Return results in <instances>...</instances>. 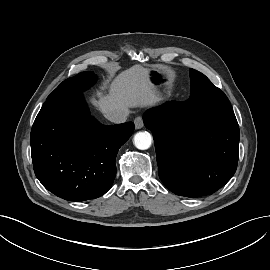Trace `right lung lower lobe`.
<instances>
[{
  "label": "right lung lower lobe",
  "mask_w": 270,
  "mask_h": 270,
  "mask_svg": "<svg viewBox=\"0 0 270 270\" xmlns=\"http://www.w3.org/2000/svg\"><path fill=\"white\" fill-rule=\"evenodd\" d=\"M133 130L131 122L99 123L82 94L45 102L30 137L35 175L47 190L65 200L98 198L112 186L117 152Z\"/></svg>",
  "instance_id": "obj_1"
}]
</instances>
